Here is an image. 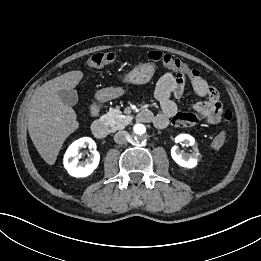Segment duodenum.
I'll use <instances>...</instances> for the list:
<instances>
[{"instance_id": "obj_1", "label": "duodenum", "mask_w": 261, "mask_h": 261, "mask_svg": "<svg viewBox=\"0 0 261 261\" xmlns=\"http://www.w3.org/2000/svg\"><path fill=\"white\" fill-rule=\"evenodd\" d=\"M91 114L96 116L99 112V107L96 104L91 106ZM137 119L140 122H150L153 119V114L148 110H142L137 114ZM91 130L97 139H104L108 135V126L100 119H95L92 123Z\"/></svg>"}]
</instances>
